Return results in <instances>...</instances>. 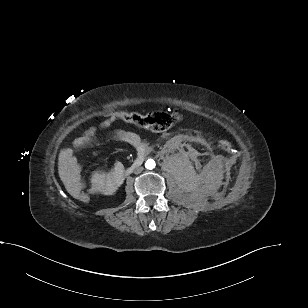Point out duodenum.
I'll return each instance as SVG.
<instances>
[{
  "instance_id": "obj_1",
  "label": "duodenum",
  "mask_w": 308,
  "mask_h": 308,
  "mask_svg": "<svg viewBox=\"0 0 308 308\" xmlns=\"http://www.w3.org/2000/svg\"><path fill=\"white\" fill-rule=\"evenodd\" d=\"M144 152H145V150H141V151L139 152L138 157L135 159V161L132 163V165L129 166V167L122 173V180H123L124 177L130 175L136 167H139V166L142 164Z\"/></svg>"
}]
</instances>
